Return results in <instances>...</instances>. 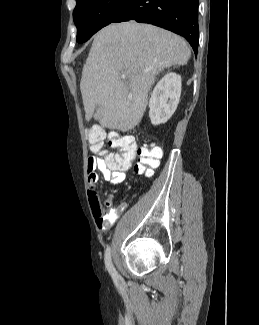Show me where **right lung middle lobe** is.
Here are the masks:
<instances>
[{
    "label": "right lung middle lobe",
    "mask_w": 259,
    "mask_h": 325,
    "mask_svg": "<svg viewBox=\"0 0 259 325\" xmlns=\"http://www.w3.org/2000/svg\"><path fill=\"white\" fill-rule=\"evenodd\" d=\"M126 0H76L73 19L77 27V42L87 41L110 24Z\"/></svg>",
    "instance_id": "right-lung-middle-lobe-1"
}]
</instances>
